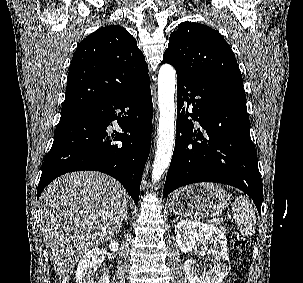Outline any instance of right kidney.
<instances>
[{
  "instance_id": "obj_1",
  "label": "right kidney",
  "mask_w": 303,
  "mask_h": 283,
  "mask_svg": "<svg viewBox=\"0 0 303 283\" xmlns=\"http://www.w3.org/2000/svg\"><path fill=\"white\" fill-rule=\"evenodd\" d=\"M111 251H117L119 244L117 241H111L108 245ZM99 248L95 247L89 250L79 261L76 270V283H94L91 277L93 271L97 270L99 264ZM98 283H109L107 275H103Z\"/></svg>"
}]
</instances>
